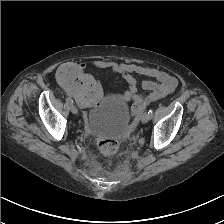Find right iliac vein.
<instances>
[{"label": "right iliac vein", "instance_id": "right-iliac-vein-1", "mask_svg": "<svg viewBox=\"0 0 224 224\" xmlns=\"http://www.w3.org/2000/svg\"><path fill=\"white\" fill-rule=\"evenodd\" d=\"M70 110H71V112H72L73 114H77V113H78V110H77V108H76L74 105H71V106H70Z\"/></svg>", "mask_w": 224, "mask_h": 224}]
</instances>
